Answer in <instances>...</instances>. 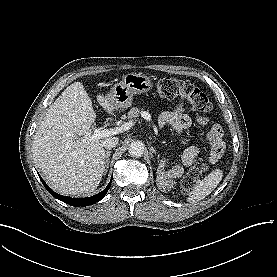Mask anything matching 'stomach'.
Instances as JSON below:
<instances>
[{
	"label": "stomach",
	"mask_w": 277,
	"mask_h": 277,
	"mask_svg": "<svg viewBox=\"0 0 277 277\" xmlns=\"http://www.w3.org/2000/svg\"><path fill=\"white\" fill-rule=\"evenodd\" d=\"M152 87L153 83L149 76L131 72L125 74L120 82L113 85L107 97L116 109H125L131 106L133 95L148 92Z\"/></svg>",
	"instance_id": "1"
}]
</instances>
